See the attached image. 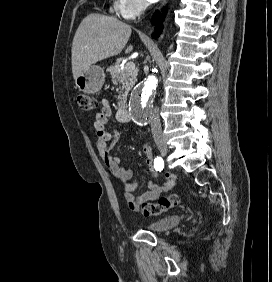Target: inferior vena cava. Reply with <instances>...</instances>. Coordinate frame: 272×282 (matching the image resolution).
Instances as JSON below:
<instances>
[{"label":"inferior vena cava","mask_w":272,"mask_h":282,"mask_svg":"<svg viewBox=\"0 0 272 282\" xmlns=\"http://www.w3.org/2000/svg\"><path fill=\"white\" fill-rule=\"evenodd\" d=\"M147 7V4L144 3L141 6V14L145 11ZM151 131H152V135L155 141L157 140H161L163 138V134H162V129H161V123H160V117H159V112H158V108L155 107L152 111L151 114Z\"/></svg>","instance_id":"602c4592"}]
</instances>
